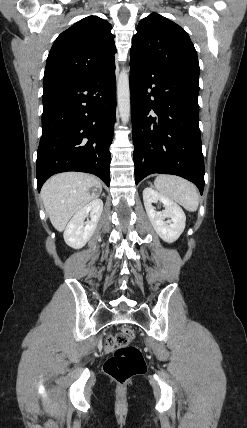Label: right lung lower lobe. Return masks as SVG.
I'll return each instance as SVG.
<instances>
[{
    "mask_svg": "<svg viewBox=\"0 0 247 428\" xmlns=\"http://www.w3.org/2000/svg\"><path fill=\"white\" fill-rule=\"evenodd\" d=\"M38 191L53 174L92 173L110 185L116 111L115 64L68 85L44 89Z\"/></svg>",
    "mask_w": 247,
    "mask_h": 428,
    "instance_id": "1",
    "label": "right lung lower lobe"
}]
</instances>
